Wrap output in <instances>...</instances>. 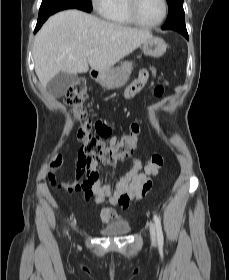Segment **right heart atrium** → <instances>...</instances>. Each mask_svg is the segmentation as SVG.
Masks as SVG:
<instances>
[{
  "label": "right heart atrium",
  "instance_id": "d8ad5b80",
  "mask_svg": "<svg viewBox=\"0 0 229 280\" xmlns=\"http://www.w3.org/2000/svg\"><path fill=\"white\" fill-rule=\"evenodd\" d=\"M96 12L102 16L109 10L113 0H90Z\"/></svg>",
  "mask_w": 229,
  "mask_h": 280
}]
</instances>
